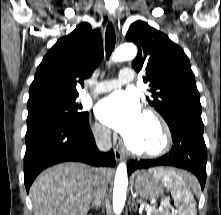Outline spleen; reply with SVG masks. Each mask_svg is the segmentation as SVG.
Wrapping results in <instances>:
<instances>
[{"label":"spleen","instance_id":"3e777b00","mask_svg":"<svg viewBox=\"0 0 221 215\" xmlns=\"http://www.w3.org/2000/svg\"><path fill=\"white\" fill-rule=\"evenodd\" d=\"M165 184L171 191V195L177 203L179 215H196V202L191 189L197 187V180L191 174L184 171L158 172Z\"/></svg>","mask_w":221,"mask_h":215}]
</instances>
